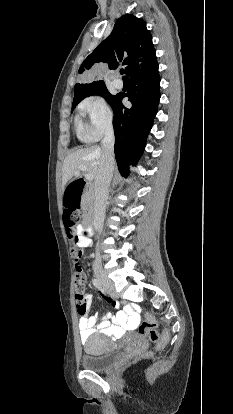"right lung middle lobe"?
Segmentation results:
<instances>
[{
	"instance_id": "1",
	"label": "right lung middle lobe",
	"mask_w": 233,
	"mask_h": 414,
	"mask_svg": "<svg viewBox=\"0 0 233 414\" xmlns=\"http://www.w3.org/2000/svg\"><path fill=\"white\" fill-rule=\"evenodd\" d=\"M91 95H100L104 97L110 104L115 100L117 95H112L109 93L105 85L98 86L88 92H86L80 99L74 100L72 104V111L76 107V105L82 101L85 97L91 96Z\"/></svg>"
}]
</instances>
